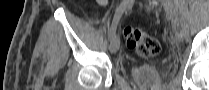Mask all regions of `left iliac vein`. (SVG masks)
Masks as SVG:
<instances>
[{"label":"left iliac vein","instance_id":"obj_1","mask_svg":"<svg viewBox=\"0 0 209 90\" xmlns=\"http://www.w3.org/2000/svg\"><path fill=\"white\" fill-rule=\"evenodd\" d=\"M163 4L167 16L175 23L173 24L172 32H179L180 16L174 2L172 0H164Z\"/></svg>","mask_w":209,"mask_h":90}]
</instances>
